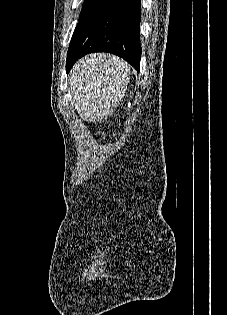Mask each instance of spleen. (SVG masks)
I'll return each instance as SVG.
<instances>
[{
  "label": "spleen",
  "instance_id": "obj_1",
  "mask_svg": "<svg viewBox=\"0 0 227 315\" xmlns=\"http://www.w3.org/2000/svg\"><path fill=\"white\" fill-rule=\"evenodd\" d=\"M129 74V65L118 57L81 60L70 79L80 116L90 122L107 118L123 98Z\"/></svg>",
  "mask_w": 227,
  "mask_h": 315
}]
</instances>
